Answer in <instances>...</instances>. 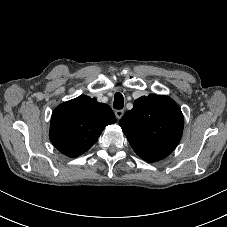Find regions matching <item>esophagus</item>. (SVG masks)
<instances>
[{"instance_id":"34e87169","label":"esophagus","mask_w":227,"mask_h":227,"mask_svg":"<svg viewBox=\"0 0 227 227\" xmlns=\"http://www.w3.org/2000/svg\"><path fill=\"white\" fill-rule=\"evenodd\" d=\"M123 114H124L123 110H116L115 111V115H116L117 119H121Z\"/></svg>"}]
</instances>
